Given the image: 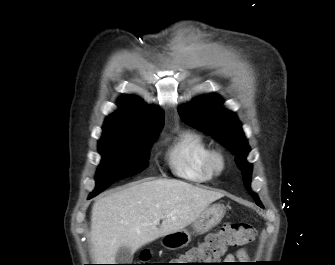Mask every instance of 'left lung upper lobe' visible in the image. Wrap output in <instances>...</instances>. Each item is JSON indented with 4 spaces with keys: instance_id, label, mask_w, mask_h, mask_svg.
<instances>
[{
    "instance_id": "1",
    "label": "left lung upper lobe",
    "mask_w": 335,
    "mask_h": 265,
    "mask_svg": "<svg viewBox=\"0 0 335 265\" xmlns=\"http://www.w3.org/2000/svg\"><path fill=\"white\" fill-rule=\"evenodd\" d=\"M221 105V98L211 95L181 107L179 115L185 122L212 135L236 156L235 162L242 172L245 188L256 204L263 207L257 194L250 189L252 165L246 160L250 147L241 123L233 112L223 109Z\"/></svg>"
}]
</instances>
